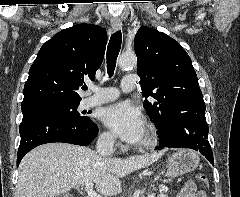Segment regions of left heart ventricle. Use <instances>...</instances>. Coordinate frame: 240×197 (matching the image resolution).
<instances>
[{
    "instance_id": "b2bd125f",
    "label": "left heart ventricle",
    "mask_w": 240,
    "mask_h": 197,
    "mask_svg": "<svg viewBox=\"0 0 240 197\" xmlns=\"http://www.w3.org/2000/svg\"><path fill=\"white\" fill-rule=\"evenodd\" d=\"M144 135H145V134H144ZM143 139H144V136L142 137V139H141V140H143ZM141 140H140V141H141Z\"/></svg>"
}]
</instances>
